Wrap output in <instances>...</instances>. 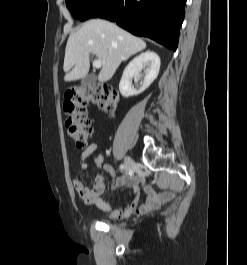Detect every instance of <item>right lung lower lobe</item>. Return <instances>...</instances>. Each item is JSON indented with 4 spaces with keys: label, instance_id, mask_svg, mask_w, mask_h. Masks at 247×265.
<instances>
[{
    "label": "right lung lower lobe",
    "instance_id": "right-lung-lower-lobe-1",
    "mask_svg": "<svg viewBox=\"0 0 247 265\" xmlns=\"http://www.w3.org/2000/svg\"><path fill=\"white\" fill-rule=\"evenodd\" d=\"M186 0H101L81 21L105 18L137 36L155 40L175 51Z\"/></svg>",
    "mask_w": 247,
    "mask_h": 265
}]
</instances>
